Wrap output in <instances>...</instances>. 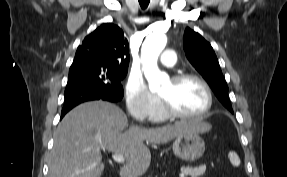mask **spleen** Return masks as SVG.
<instances>
[{
  "instance_id": "spleen-1",
  "label": "spleen",
  "mask_w": 287,
  "mask_h": 177,
  "mask_svg": "<svg viewBox=\"0 0 287 177\" xmlns=\"http://www.w3.org/2000/svg\"><path fill=\"white\" fill-rule=\"evenodd\" d=\"M228 158H229L231 164L235 167L239 166L241 163L240 158L236 152L230 151L228 153Z\"/></svg>"
}]
</instances>
